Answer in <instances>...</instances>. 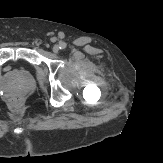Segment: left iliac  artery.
I'll use <instances>...</instances> for the list:
<instances>
[{"mask_svg": "<svg viewBox=\"0 0 163 163\" xmlns=\"http://www.w3.org/2000/svg\"><path fill=\"white\" fill-rule=\"evenodd\" d=\"M59 48L62 49V50L65 49L66 48V43L65 42H60Z\"/></svg>", "mask_w": 163, "mask_h": 163, "instance_id": "1", "label": "left iliac artery"}]
</instances>
